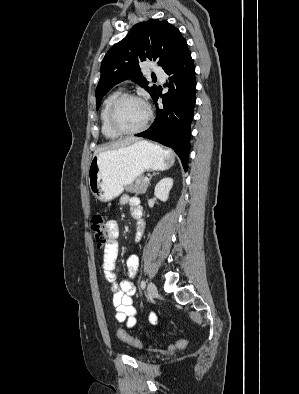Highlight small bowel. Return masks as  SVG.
Masks as SVG:
<instances>
[{"instance_id": "c3829d8e", "label": "small bowel", "mask_w": 299, "mask_h": 394, "mask_svg": "<svg viewBox=\"0 0 299 394\" xmlns=\"http://www.w3.org/2000/svg\"><path fill=\"white\" fill-rule=\"evenodd\" d=\"M119 204L130 206L132 217L138 221L136 241H140L144 233V221L142 219L143 211L139 199L135 196L123 195L119 199ZM106 227L108 240L103 254V271L106 280L110 283L111 291L113 292L112 303L116 311V319L119 322H126L127 326L131 328L137 322L135 318L137 309L133 301L136 288L131 279L138 270L139 261L136 255H131L126 261L129 279H124L120 282L117 281L115 269L118 256L117 239L119 236V226L117 221L109 220L106 223ZM149 322L151 324L158 323V316L153 311L149 314Z\"/></svg>"}]
</instances>
